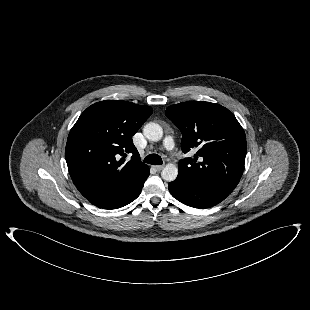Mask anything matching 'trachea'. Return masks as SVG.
I'll use <instances>...</instances> for the list:
<instances>
[{
	"instance_id": "3493384b",
	"label": "trachea",
	"mask_w": 310,
	"mask_h": 310,
	"mask_svg": "<svg viewBox=\"0 0 310 310\" xmlns=\"http://www.w3.org/2000/svg\"><path fill=\"white\" fill-rule=\"evenodd\" d=\"M144 162L152 165H161L163 163L161 157L157 154H149L144 159Z\"/></svg>"
}]
</instances>
